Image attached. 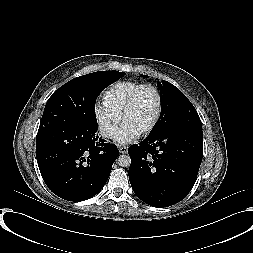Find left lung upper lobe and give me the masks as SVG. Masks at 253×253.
<instances>
[{"instance_id":"5c2ea615","label":"left lung upper lobe","mask_w":253,"mask_h":253,"mask_svg":"<svg viewBox=\"0 0 253 253\" xmlns=\"http://www.w3.org/2000/svg\"><path fill=\"white\" fill-rule=\"evenodd\" d=\"M157 85L161 93V115L149 135L183 128L202 130L198 113L188 98L167 81L162 80Z\"/></svg>"}]
</instances>
